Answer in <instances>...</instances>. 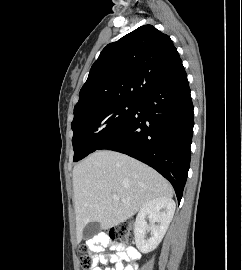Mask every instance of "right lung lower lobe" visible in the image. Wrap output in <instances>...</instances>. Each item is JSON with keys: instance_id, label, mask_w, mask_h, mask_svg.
Here are the masks:
<instances>
[{"instance_id": "obj_1", "label": "right lung lower lobe", "mask_w": 242, "mask_h": 270, "mask_svg": "<svg viewBox=\"0 0 242 270\" xmlns=\"http://www.w3.org/2000/svg\"><path fill=\"white\" fill-rule=\"evenodd\" d=\"M193 125V104L182 66L137 99L125 124L97 150L121 152L153 167L171 182L180 202L190 167Z\"/></svg>"}]
</instances>
